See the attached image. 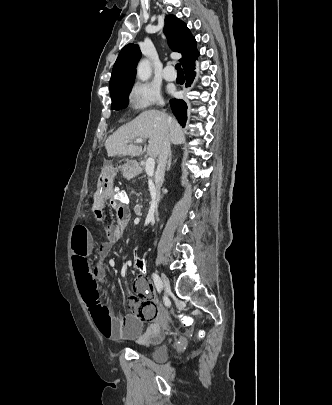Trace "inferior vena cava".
<instances>
[{
  "label": "inferior vena cava",
  "instance_id": "602c4592",
  "mask_svg": "<svg viewBox=\"0 0 332 405\" xmlns=\"http://www.w3.org/2000/svg\"><path fill=\"white\" fill-rule=\"evenodd\" d=\"M173 122L172 117H168V124L170 125ZM170 153V140L166 137L163 141L161 152L158 157V166L155 174V202L159 203L160 201V188L164 181L165 168L167 164V158Z\"/></svg>",
  "mask_w": 332,
  "mask_h": 405
}]
</instances>
